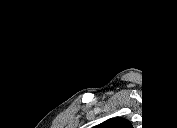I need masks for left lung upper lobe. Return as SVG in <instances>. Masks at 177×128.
I'll return each instance as SVG.
<instances>
[{
    "label": "left lung upper lobe",
    "mask_w": 177,
    "mask_h": 128,
    "mask_svg": "<svg viewBox=\"0 0 177 128\" xmlns=\"http://www.w3.org/2000/svg\"><path fill=\"white\" fill-rule=\"evenodd\" d=\"M101 127L104 128H129L131 127L129 121L123 118H112L101 124Z\"/></svg>",
    "instance_id": "left-lung-upper-lobe-1"
}]
</instances>
